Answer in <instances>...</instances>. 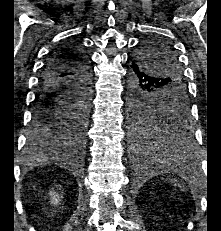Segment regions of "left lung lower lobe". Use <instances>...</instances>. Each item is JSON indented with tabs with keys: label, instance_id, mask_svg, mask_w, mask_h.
Segmentation results:
<instances>
[{
	"label": "left lung lower lobe",
	"instance_id": "0a47b994",
	"mask_svg": "<svg viewBox=\"0 0 221 231\" xmlns=\"http://www.w3.org/2000/svg\"><path fill=\"white\" fill-rule=\"evenodd\" d=\"M161 80L149 74L146 69L137 61H132L130 75H129V117H134L140 114L145 108L146 98L149 94L156 93L161 88ZM130 120V118H129ZM179 126L181 130L180 135L175 138L172 135H155L153 138L146 137L137 139L133 133L135 145L141 150H148L150 153V160L153 163H160V155L166 152L171 159L169 163L176 168H183L186 159L192 156L194 152V142L190 130L187 128V121Z\"/></svg>",
	"mask_w": 221,
	"mask_h": 231
}]
</instances>
